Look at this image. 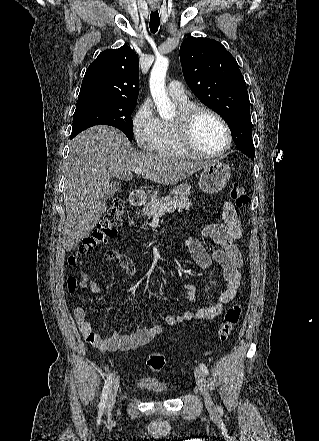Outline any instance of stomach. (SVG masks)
Instances as JSON below:
<instances>
[{
    "label": "stomach",
    "mask_w": 319,
    "mask_h": 441,
    "mask_svg": "<svg viewBox=\"0 0 319 441\" xmlns=\"http://www.w3.org/2000/svg\"><path fill=\"white\" fill-rule=\"evenodd\" d=\"M231 169L229 165L219 161H210L204 166L200 175L199 187L207 194H214L221 191L229 181ZM191 189L190 184L183 183L170 191L174 197L186 195Z\"/></svg>",
    "instance_id": "stomach-1"
}]
</instances>
